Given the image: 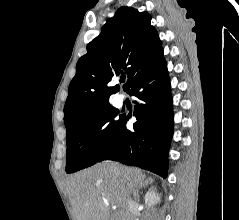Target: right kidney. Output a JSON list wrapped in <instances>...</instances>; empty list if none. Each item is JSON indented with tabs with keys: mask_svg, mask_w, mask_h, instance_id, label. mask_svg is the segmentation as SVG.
Here are the masks:
<instances>
[{
	"mask_svg": "<svg viewBox=\"0 0 239 220\" xmlns=\"http://www.w3.org/2000/svg\"><path fill=\"white\" fill-rule=\"evenodd\" d=\"M144 199H145V203L149 207L160 202V196L158 195V193H156V189L153 187L149 189Z\"/></svg>",
	"mask_w": 239,
	"mask_h": 220,
	"instance_id": "right-kidney-1",
	"label": "right kidney"
}]
</instances>
